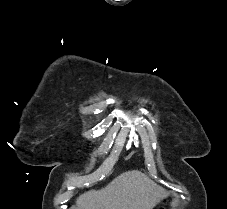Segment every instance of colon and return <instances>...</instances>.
I'll list each match as a JSON object with an SVG mask.
<instances>
[{
    "mask_svg": "<svg viewBox=\"0 0 227 209\" xmlns=\"http://www.w3.org/2000/svg\"><path fill=\"white\" fill-rule=\"evenodd\" d=\"M166 200H163L162 204L159 206V209H166Z\"/></svg>",
    "mask_w": 227,
    "mask_h": 209,
    "instance_id": "5ec220e1",
    "label": "colon"
}]
</instances>
